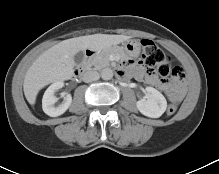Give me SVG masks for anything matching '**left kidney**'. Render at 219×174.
I'll use <instances>...</instances> for the list:
<instances>
[{"instance_id": "1", "label": "left kidney", "mask_w": 219, "mask_h": 174, "mask_svg": "<svg viewBox=\"0 0 219 174\" xmlns=\"http://www.w3.org/2000/svg\"><path fill=\"white\" fill-rule=\"evenodd\" d=\"M146 97L137 101V109L150 118H159L167 108L165 97L155 88L146 87Z\"/></svg>"}]
</instances>
